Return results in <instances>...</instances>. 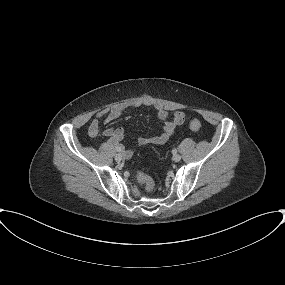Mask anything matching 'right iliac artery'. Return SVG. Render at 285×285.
I'll use <instances>...</instances> for the list:
<instances>
[{
  "label": "right iliac artery",
  "instance_id": "right-iliac-artery-1",
  "mask_svg": "<svg viewBox=\"0 0 285 285\" xmlns=\"http://www.w3.org/2000/svg\"><path fill=\"white\" fill-rule=\"evenodd\" d=\"M116 150H117L118 152L122 151L121 148H118V147L116 148Z\"/></svg>",
  "mask_w": 285,
  "mask_h": 285
}]
</instances>
